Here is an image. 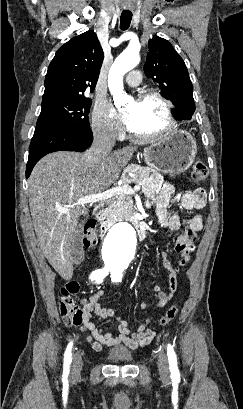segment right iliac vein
I'll return each mask as SVG.
<instances>
[{
  "label": "right iliac vein",
  "instance_id": "63e3f726",
  "mask_svg": "<svg viewBox=\"0 0 243 409\" xmlns=\"http://www.w3.org/2000/svg\"><path fill=\"white\" fill-rule=\"evenodd\" d=\"M82 369V357L79 352L74 354L73 357V367H72V376L74 378L78 377L80 375Z\"/></svg>",
  "mask_w": 243,
  "mask_h": 409
}]
</instances>
